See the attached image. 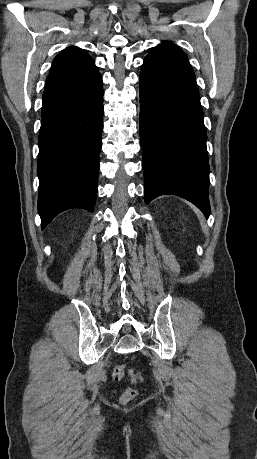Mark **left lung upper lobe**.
Here are the masks:
<instances>
[{
    "mask_svg": "<svg viewBox=\"0 0 257 459\" xmlns=\"http://www.w3.org/2000/svg\"><path fill=\"white\" fill-rule=\"evenodd\" d=\"M153 50H173V51H179V52H183L181 51L180 49H178L175 45L169 43V42H163L162 44L154 47L152 49Z\"/></svg>",
    "mask_w": 257,
    "mask_h": 459,
    "instance_id": "left-lung-upper-lobe-1",
    "label": "left lung upper lobe"
}]
</instances>
